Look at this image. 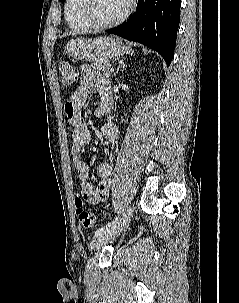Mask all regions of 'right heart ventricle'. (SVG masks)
Wrapping results in <instances>:
<instances>
[{
	"label": "right heart ventricle",
	"instance_id": "obj_1",
	"mask_svg": "<svg viewBox=\"0 0 239 303\" xmlns=\"http://www.w3.org/2000/svg\"><path fill=\"white\" fill-rule=\"evenodd\" d=\"M80 0H66L64 5V16L67 25L75 31L87 30L89 26L80 18L78 7Z\"/></svg>",
	"mask_w": 239,
	"mask_h": 303
}]
</instances>
